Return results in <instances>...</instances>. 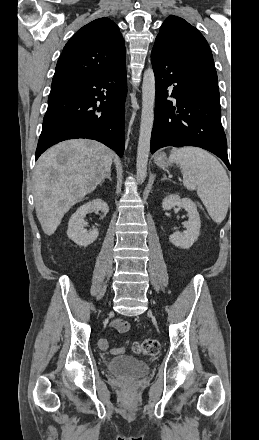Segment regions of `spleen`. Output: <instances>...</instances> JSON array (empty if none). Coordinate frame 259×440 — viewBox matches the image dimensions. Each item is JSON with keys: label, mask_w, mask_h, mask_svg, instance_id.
I'll return each instance as SVG.
<instances>
[{"label": "spleen", "mask_w": 259, "mask_h": 440, "mask_svg": "<svg viewBox=\"0 0 259 440\" xmlns=\"http://www.w3.org/2000/svg\"><path fill=\"white\" fill-rule=\"evenodd\" d=\"M169 159L179 163L183 185L188 190H196L210 217L216 223H221L229 207L230 181L220 162L207 151L196 147L175 149Z\"/></svg>", "instance_id": "1"}]
</instances>
